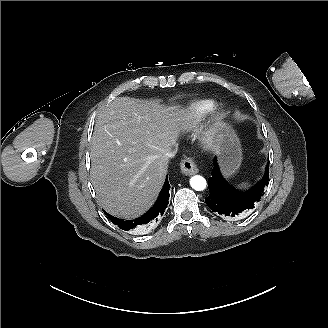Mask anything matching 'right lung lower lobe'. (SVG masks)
Returning a JSON list of instances; mask_svg holds the SVG:
<instances>
[{"instance_id": "98d812e1", "label": "right lung lower lobe", "mask_w": 328, "mask_h": 328, "mask_svg": "<svg viewBox=\"0 0 328 328\" xmlns=\"http://www.w3.org/2000/svg\"><path fill=\"white\" fill-rule=\"evenodd\" d=\"M169 182H168V177L165 180L164 186L159 194V197L153 207L144 215L141 217L134 219V220H124V219H119L116 217H113L109 214L108 217L111 220V222L115 225H117L120 229L128 231L132 229H143L148 226V223H154L157 222L158 219L160 218L161 215H163L165 209L167 208L168 205V200L170 197L169 194Z\"/></svg>"}]
</instances>
